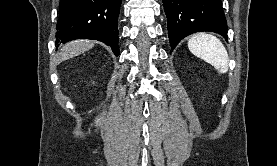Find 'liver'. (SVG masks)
<instances>
[{
	"label": "liver",
	"mask_w": 277,
	"mask_h": 166,
	"mask_svg": "<svg viewBox=\"0 0 277 166\" xmlns=\"http://www.w3.org/2000/svg\"><path fill=\"white\" fill-rule=\"evenodd\" d=\"M94 45L95 43L90 40H75L69 42L64 45V47L61 49V52L57 55L56 63L58 64L62 61L78 56L90 50L92 47H94Z\"/></svg>",
	"instance_id": "liver-1"
}]
</instances>
